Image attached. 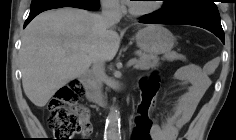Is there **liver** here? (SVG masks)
I'll return each instance as SVG.
<instances>
[{
	"label": "liver",
	"mask_w": 236,
	"mask_h": 140,
	"mask_svg": "<svg viewBox=\"0 0 236 140\" xmlns=\"http://www.w3.org/2000/svg\"><path fill=\"white\" fill-rule=\"evenodd\" d=\"M121 38L101 15L77 8L41 13L26 27L19 52L22 85L37 107L96 61H110Z\"/></svg>",
	"instance_id": "liver-1"
}]
</instances>
